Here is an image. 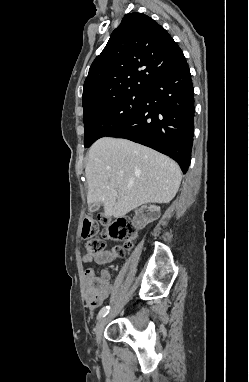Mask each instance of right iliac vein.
<instances>
[{
  "label": "right iliac vein",
  "instance_id": "1",
  "mask_svg": "<svg viewBox=\"0 0 249 382\" xmlns=\"http://www.w3.org/2000/svg\"><path fill=\"white\" fill-rule=\"evenodd\" d=\"M107 322H108V317L101 318V319L98 321V323H97V325H96V327H95V330H94V331H95V336H96V340H97V342L100 341L102 332H103V330H104V328H105Z\"/></svg>",
  "mask_w": 249,
  "mask_h": 382
}]
</instances>
